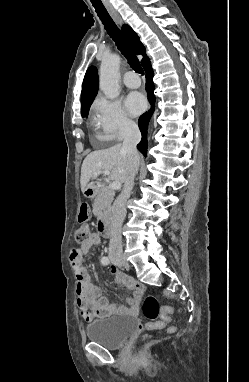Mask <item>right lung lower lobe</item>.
Wrapping results in <instances>:
<instances>
[{
  "label": "right lung lower lobe",
  "mask_w": 249,
  "mask_h": 382,
  "mask_svg": "<svg viewBox=\"0 0 249 382\" xmlns=\"http://www.w3.org/2000/svg\"><path fill=\"white\" fill-rule=\"evenodd\" d=\"M142 66L145 70L146 73V90L148 94V100L151 104V108L148 112L142 114L139 118L138 125L140 128V131L142 133V139L141 142L137 145V148L139 151L146 156L147 154V137H146V131H147V126H148V121L151 117V115L154 112V107H155V96H154V86L152 82V77H153V70L151 67V62L148 59L144 63H142Z\"/></svg>",
  "instance_id": "obj_1"
}]
</instances>
